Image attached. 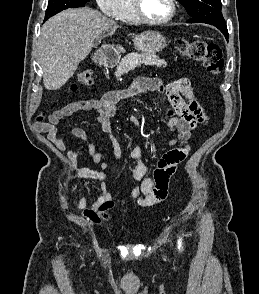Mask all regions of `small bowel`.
Wrapping results in <instances>:
<instances>
[{"label": "small bowel", "instance_id": "c3829d8e", "mask_svg": "<svg viewBox=\"0 0 259 294\" xmlns=\"http://www.w3.org/2000/svg\"><path fill=\"white\" fill-rule=\"evenodd\" d=\"M150 91L154 93L155 100L162 108L168 125L175 133V137L169 145H179L177 149L164 153L159 159L153 178L148 177V165L142 158L141 149L138 146L132 148L131 158L136 162L132 170L133 178L140 181L131 197L136 199L139 206L150 207L165 199L168 192V184L177 166L185 160L189 153L187 144L191 131L198 125L207 126L209 116L203 104L197 98L194 89L188 79H179L164 85L162 81L154 77H141L136 79L129 87L111 90L100 99L78 100L71 102L55 110L50 115L40 114L34 128L39 133L47 135L48 139L59 150H64L69 137L80 142L69 152V161L74 173L79 178L98 181L100 191L97 199L88 203L81 198L77 208L82 211L84 217L92 223L100 224L109 220L108 210L116 207L114 197L107 190L108 162H102V152L96 148L82 128H74L68 134H60L58 126L60 122L74 116L79 112L95 111L102 131L109 137L112 135L110 120L116 115L119 103L137 93ZM165 95L167 101L161 98ZM87 151L91 160L100 166V170L77 168L76 157L81 151Z\"/></svg>", "mask_w": 259, "mask_h": 294}]
</instances>
